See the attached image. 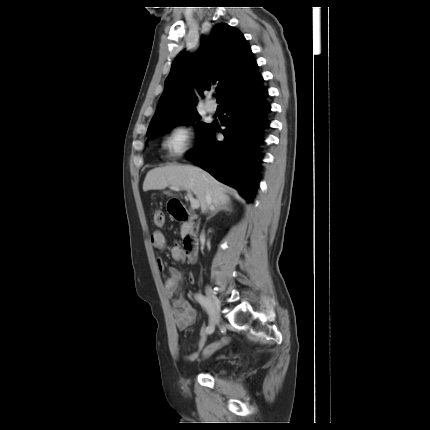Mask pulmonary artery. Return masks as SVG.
Here are the masks:
<instances>
[{"instance_id":"e3ab8cb5","label":"pulmonary artery","mask_w":430,"mask_h":430,"mask_svg":"<svg viewBox=\"0 0 430 430\" xmlns=\"http://www.w3.org/2000/svg\"><path fill=\"white\" fill-rule=\"evenodd\" d=\"M206 110L209 112H215L217 109V105L213 101H207L205 104Z\"/></svg>"}]
</instances>
